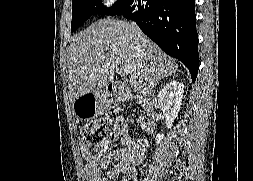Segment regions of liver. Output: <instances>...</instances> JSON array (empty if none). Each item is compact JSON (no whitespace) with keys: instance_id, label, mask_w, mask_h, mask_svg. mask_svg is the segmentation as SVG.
Returning <instances> with one entry per match:
<instances>
[{"instance_id":"obj_1","label":"liver","mask_w":253,"mask_h":181,"mask_svg":"<svg viewBox=\"0 0 253 181\" xmlns=\"http://www.w3.org/2000/svg\"><path fill=\"white\" fill-rule=\"evenodd\" d=\"M68 87L74 102L113 82L115 70L131 64V88L148 91L175 75L178 64L132 23L102 19L72 38L68 50Z\"/></svg>"}]
</instances>
